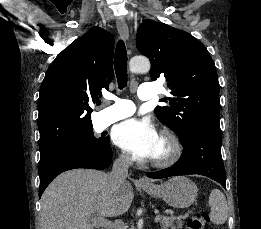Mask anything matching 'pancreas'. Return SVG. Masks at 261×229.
<instances>
[{
	"instance_id": "cf45deb5",
	"label": "pancreas",
	"mask_w": 261,
	"mask_h": 229,
	"mask_svg": "<svg viewBox=\"0 0 261 229\" xmlns=\"http://www.w3.org/2000/svg\"><path fill=\"white\" fill-rule=\"evenodd\" d=\"M186 217H189L188 213L184 215L183 219H186ZM156 218L161 219L160 222L161 229H182L184 225V221H181V219H177V221H175V219H170V217H156Z\"/></svg>"
}]
</instances>
